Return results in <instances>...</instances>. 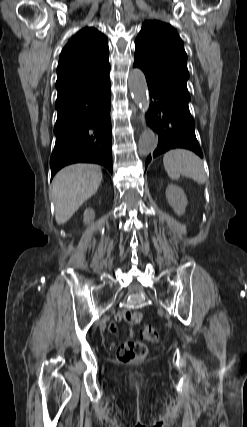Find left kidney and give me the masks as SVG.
<instances>
[{
    "instance_id": "5707ae66",
    "label": "left kidney",
    "mask_w": 247,
    "mask_h": 427,
    "mask_svg": "<svg viewBox=\"0 0 247 427\" xmlns=\"http://www.w3.org/2000/svg\"><path fill=\"white\" fill-rule=\"evenodd\" d=\"M166 198L178 216L184 214L188 201L182 188L174 184L168 185L166 188Z\"/></svg>"
}]
</instances>
